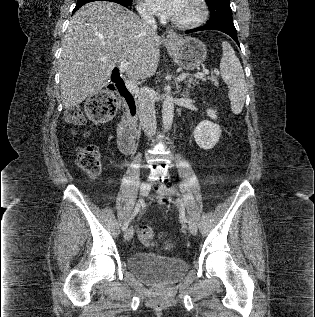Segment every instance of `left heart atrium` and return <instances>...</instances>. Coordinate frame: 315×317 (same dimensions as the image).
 I'll use <instances>...</instances> for the list:
<instances>
[{
    "label": "left heart atrium",
    "instance_id": "39dd6f15",
    "mask_svg": "<svg viewBox=\"0 0 315 317\" xmlns=\"http://www.w3.org/2000/svg\"><path fill=\"white\" fill-rule=\"evenodd\" d=\"M181 1L182 0H146V3L158 16L173 18L180 7Z\"/></svg>",
    "mask_w": 315,
    "mask_h": 317
}]
</instances>
